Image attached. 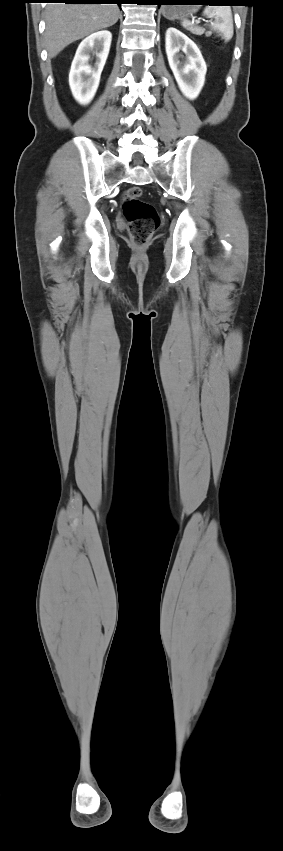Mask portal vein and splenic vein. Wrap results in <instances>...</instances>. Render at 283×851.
<instances>
[{
    "label": "portal vein and splenic vein",
    "mask_w": 283,
    "mask_h": 851,
    "mask_svg": "<svg viewBox=\"0 0 283 851\" xmlns=\"http://www.w3.org/2000/svg\"><path fill=\"white\" fill-rule=\"evenodd\" d=\"M195 22L198 24V23H200V20H196ZM206 22H208V20H206Z\"/></svg>",
    "instance_id": "portal-vein-and-splenic-vein-1"
}]
</instances>
